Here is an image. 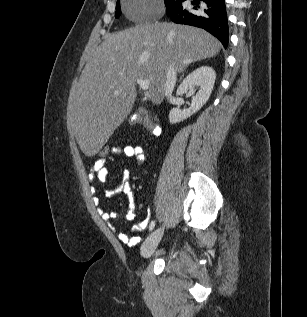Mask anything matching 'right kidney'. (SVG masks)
Returning <instances> with one entry per match:
<instances>
[{"instance_id": "obj_1", "label": "right kidney", "mask_w": 307, "mask_h": 317, "mask_svg": "<svg viewBox=\"0 0 307 317\" xmlns=\"http://www.w3.org/2000/svg\"><path fill=\"white\" fill-rule=\"evenodd\" d=\"M215 79L216 73L210 66H201L191 72L180 84L176 95L185 94L194 86H199L200 90L192 97V103L188 109L180 110L179 108H172L170 110V123L181 122L199 111L208 101L214 87Z\"/></svg>"}]
</instances>
